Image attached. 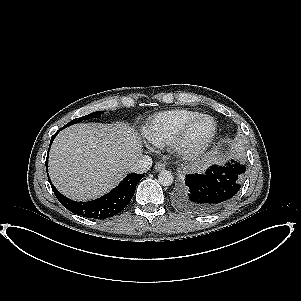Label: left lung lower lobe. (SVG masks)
<instances>
[{
    "instance_id": "0a47b994",
    "label": "left lung lower lobe",
    "mask_w": 301,
    "mask_h": 301,
    "mask_svg": "<svg viewBox=\"0 0 301 301\" xmlns=\"http://www.w3.org/2000/svg\"><path fill=\"white\" fill-rule=\"evenodd\" d=\"M246 168L239 163L227 167L212 165L205 173L187 175L174 193L175 203L197 214L213 213L234 200Z\"/></svg>"
}]
</instances>
